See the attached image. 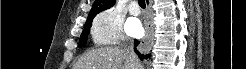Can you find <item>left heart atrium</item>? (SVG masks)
Returning <instances> with one entry per match:
<instances>
[{"mask_svg": "<svg viewBox=\"0 0 246 69\" xmlns=\"http://www.w3.org/2000/svg\"><path fill=\"white\" fill-rule=\"evenodd\" d=\"M126 30L129 35L131 36H138L141 35L143 32L142 25L137 19H129L126 24Z\"/></svg>", "mask_w": 246, "mask_h": 69, "instance_id": "obj_1", "label": "left heart atrium"}]
</instances>
